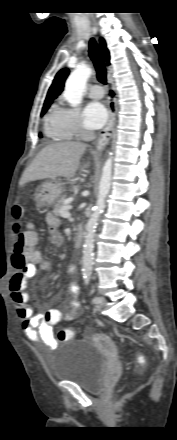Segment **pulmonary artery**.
<instances>
[{
    "label": "pulmonary artery",
    "mask_w": 177,
    "mask_h": 440,
    "mask_svg": "<svg viewBox=\"0 0 177 440\" xmlns=\"http://www.w3.org/2000/svg\"><path fill=\"white\" fill-rule=\"evenodd\" d=\"M88 94L92 99H100L104 96V89L100 85L95 84L90 88Z\"/></svg>",
    "instance_id": "obj_1"
}]
</instances>
